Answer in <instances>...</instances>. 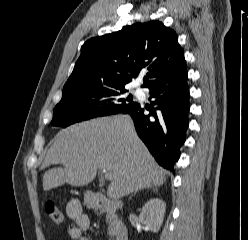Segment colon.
Wrapping results in <instances>:
<instances>
[{
	"mask_svg": "<svg viewBox=\"0 0 248 240\" xmlns=\"http://www.w3.org/2000/svg\"><path fill=\"white\" fill-rule=\"evenodd\" d=\"M45 214L56 225L64 222V213L53 202L46 203Z\"/></svg>",
	"mask_w": 248,
	"mask_h": 240,
	"instance_id": "5ec220e1",
	"label": "colon"
}]
</instances>
